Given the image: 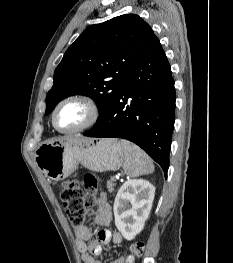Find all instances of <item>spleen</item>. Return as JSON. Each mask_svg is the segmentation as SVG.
I'll list each match as a JSON object with an SVG mask.
<instances>
[{"label": "spleen", "instance_id": "1", "mask_svg": "<svg viewBox=\"0 0 233 263\" xmlns=\"http://www.w3.org/2000/svg\"><path fill=\"white\" fill-rule=\"evenodd\" d=\"M125 150L123 169L130 177L150 174L154 171V165L150 157L135 144L121 140Z\"/></svg>", "mask_w": 233, "mask_h": 263}]
</instances>
